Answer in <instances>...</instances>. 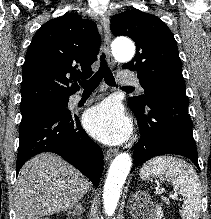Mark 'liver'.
Instances as JSON below:
<instances>
[{
  "mask_svg": "<svg viewBox=\"0 0 211 219\" xmlns=\"http://www.w3.org/2000/svg\"><path fill=\"white\" fill-rule=\"evenodd\" d=\"M85 176L61 157L41 153L21 168L16 181V219H39L67 211L87 193Z\"/></svg>",
  "mask_w": 211,
  "mask_h": 219,
  "instance_id": "liver-1",
  "label": "liver"
}]
</instances>
